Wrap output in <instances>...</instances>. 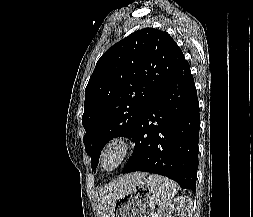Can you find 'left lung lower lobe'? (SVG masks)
Masks as SVG:
<instances>
[{"mask_svg":"<svg viewBox=\"0 0 253 217\" xmlns=\"http://www.w3.org/2000/svg\"><path fill=\"white\" fill-rule=\"evenodd\" d=\"M199 121L197 91L185 60L137 121L131 136L136 144L123 173H156L196 191Z\"/></svg>","mask_w":253,"mask_h":217,"instance_id":"0a47b994","label":"left lung lower lobe"}]
</instances>
